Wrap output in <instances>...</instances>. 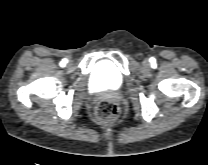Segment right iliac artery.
<instances>
[{
  "instance_id": "1",
  "label": "right iliac artery",
  "mask_w": 208,
  "mask_h": 165,
  "mask_svg": "<svg viewBox=\"0 0 208 165\" xmlns=\"http://www.w3.org/2000/svg\"><path fill=\"white\" fill-rule=\"evenodd\" d=\"M67 62H68L67 59H63V60L61 61V63H60V66H61V67H64L65 64H66Z\"/></svg>"
}]
</instances>
